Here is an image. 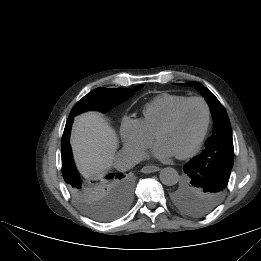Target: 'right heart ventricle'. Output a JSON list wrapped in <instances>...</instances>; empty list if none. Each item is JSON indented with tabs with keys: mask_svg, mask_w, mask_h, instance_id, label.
<instances>
[{
	"mask_svg": "<svg viewBox=\"0 0 261 261\" xmlns=\"http://www.w3.org/2000/svg\"><path fill=\"white\" fill-rule=\"evenodd\" d=\"M187 98L182 94H160L143 107L142 115L138 120L148 133L155 136L174 109Z\"/></svg>",
	"mask_w": 261,
	"mask_h": 261,
	"instance_id": "e07e8e85",
	"label": "right heart ventricle"
}]
</instances>
